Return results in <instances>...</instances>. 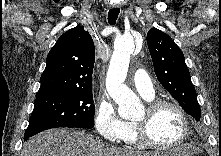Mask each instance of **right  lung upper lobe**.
Instances as JSON below:
<instances>
[{"instance_id":"1","label":"right lung upper lobe","mask_w":221,"mask_h":156,"mask_svg":"<svg viewBox=\"0 0 221 156\" xmlns=\"http://www.w3.org/2000/svg\"><path fill=\"white\" fill-rule=\"evenodd\" d=\"M94 42L80 25L68 30L49 51L36 98L92 90Z\"/></svg>"}]
</instances>
